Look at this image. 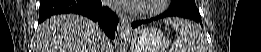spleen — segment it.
Segmentation results:
<instances>
[{"mask_svg":"<svg viewBox=\"0 0 261 52\" xmlns=\"http://www.w3.org/2000/svg\"><path fill=\"white\" fill-rule=\"evenodd\" d=\"M168 22L172 24L177 35V44L174 52H202L199 51L200 34L195 25L179 18L167 20Z\"/></svg>","mask_w":261,"mask_h":52,"instance_id":"spleen-1","label":"spleen"}]
</instances>
